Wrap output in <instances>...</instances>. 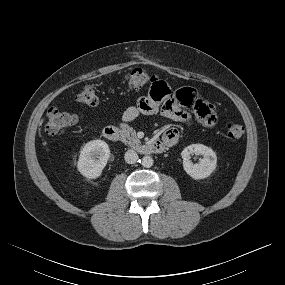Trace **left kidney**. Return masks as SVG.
Returning a JSON list of instances; mask_svg holds the SVG:
<instances>
[{
    "instance_id": "5707ae66",
    "label": "left kidney",
    "mask_w": 285,
    "mask_h": 285,
    "mask_svg": "<svg viewBox=\"0 0 285 285\" xmlns=\"http://www.w3.org/2000/svg\"><path fill=\"white\" fill-rule=\"evenodd\" d=\"M192 154L203 155V158L198 164H192L190 161ZM181 155L184 170L194 179L207 178L216 168L217 156L215 152L203 144L189 145L184 148Z\"/></svg>"
}]
</instances>
